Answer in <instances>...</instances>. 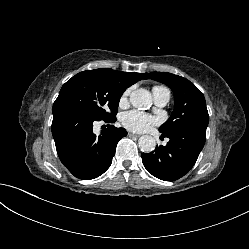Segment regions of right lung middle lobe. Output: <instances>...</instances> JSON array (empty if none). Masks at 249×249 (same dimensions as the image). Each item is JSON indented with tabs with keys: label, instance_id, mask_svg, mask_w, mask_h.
Returning <instances> with one entry per match:
<instances>
[{
	"label": "right lung middle lobe",
	"instance_id": "1",
	"mask_svg": "<svg viewBox=\"0 0 249 249\" xmlns=\"http://www.w3.org/2000/svg\"><path fill=\"white\" fill-rule=\"evenodd\" d=\"M126 90L100 69L80 72L61 88L54 103L68 104L98 120L115 118L119 100Z\"/></svg>",
	"mask_w": 249,
	"mask_h": 249
}]
</instances>
